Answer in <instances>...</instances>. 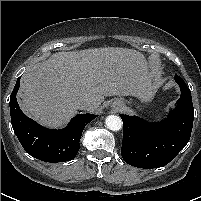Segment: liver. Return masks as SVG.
<instances>
[{"label": "liver", "mask_w": 201, "mask_h": 201, "mask_svg": "<svg viewBox=\"0 0 201 201\" xmlns=\"http://www.w3.org/2000/svg\"><path fill=\"white\" fill-rule=\"evenodd\" d=\"M152 79L145 56L133 49L58 52L24 73L19 104L41 125L57 128L77 113V101H94L97 108L106 96L142 98Z\"/></svg>", "instance_id": "obj_1"}]
</instances>
